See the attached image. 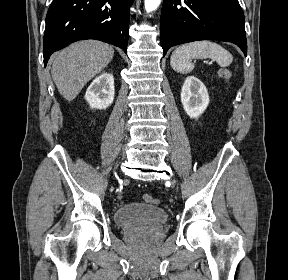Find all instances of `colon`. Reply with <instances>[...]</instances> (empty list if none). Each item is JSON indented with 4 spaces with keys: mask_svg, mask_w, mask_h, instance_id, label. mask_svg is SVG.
<instances>
[{
    "mask_svg": "<svg viewBox=\"0 0 288 280\" xmlns=\"http://www.w3.org/2000/svg\"><path fill=\"white\" fill-rule=\"evenodd\" d=\"M220 75L227 78L229 77V71L227 69H222L220 71ZM143 199L145 202L150 203V204H158L160 202L159 199L155 198L154 196L150 194H145L143 196Z\"/></svg>",
    "mask_w": 288,
    "mask_h": 280,
    "instance_id": "1",
    "label": "colon"
}]
</instances>
